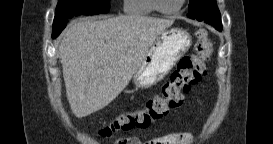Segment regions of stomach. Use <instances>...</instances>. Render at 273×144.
Here are the masks:
<instances>
[{
	"label": "stomach",
	"instance_id": "1",
	"mask_svg": "<svg viewBox=\"0 0 273 144\" xmlns=\"http://www.w3.org/2000/svg\"><path fill=\"white\" fill-rule=\"evenodd\" d=\"M190 34L182 28L166 29L148 50L136 70L133 82L138 88H149L162 80L189 50Z\"/></svg>",
	"mask_w": 273,
	"mask_h": 144
}]
</instances>
